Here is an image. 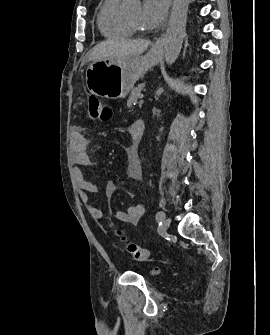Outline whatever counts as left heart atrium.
Masks as SVG:
<instances>
[{"label": "left heart atrium", "instance_id": "1", "mask_svg": "<svg viewBox=\"0 0 270 335\" xmlns=\"http://www.w3.org/2000/svg\"><path fill=\"white\" fill-rule=\"evenodd\" d=\"M168 12L166 0H146L140 19V27L147 36L157 33L162 27Z\"/></svg>", "mask_w": 270, "mask_h": 335}]
</instances>
